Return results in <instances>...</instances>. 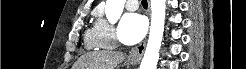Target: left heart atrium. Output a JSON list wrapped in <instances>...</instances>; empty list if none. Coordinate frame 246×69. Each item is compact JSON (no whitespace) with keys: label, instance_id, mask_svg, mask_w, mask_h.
Returning a JSON list of instances; mask_svg holds the SVG:
<instances>
[{"label":"left heart atrium","instance_id":"39dd6f15","mask_svg":"<svg viewBox=\"0 0 246 69\" xmlns=\"http://www.w3.org/2000/svg\"><path fill=\"white\" fill-rule=\"evenodd\" d=\"M146 31L145 17L138 13H126L123 15L118 29V37L121 43L132 45L140 42Z\"/></svg>","mask_w":246,"mask_h":69}]
</instances>
